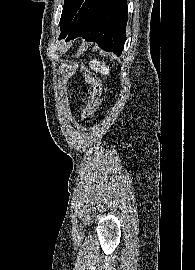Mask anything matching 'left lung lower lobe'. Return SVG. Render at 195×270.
Here are the masks:
<instances>
[{
  "label": "left lung lower lobe",
  "mask_w": 195,
  "mask_h": 270,
  "mask_svg": "<svg viewBox=\"0 0 195 270\" xmlns=\"http://www.w3.org/2000/svg\"><path fill=\"white\" fill-rule=\"evenodd\" d=\"M127 0H85L70 25L66 41L83 37L120 56L126 40Z\"/></svg>",
  "instance_id": "1"
}]
</instances>
